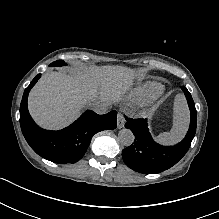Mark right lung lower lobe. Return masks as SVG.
Segmentation results:
<instances>
[{
	"instance_id": "1",
	"label": "right lung lower lobe",
	"mask_w": 219,
	"mask_h": 219,
	"mask_svg": "<svg viewBox=\"0 0 219 219\" xmlns=\"http://www.w3.org/2000/svg\"><path fill=\"white\" fill-rule=\"evenodd\" d=\"M38 74L25 89L20 105V126L31 148L41 157L55 163H75L85 154L94 134L117 127L116 111L98 115L91 110L85 111L74 123L59 131L41 129L32 120L27 98L30 89L40 78Z\"/></svg>"
}]
</instances>
